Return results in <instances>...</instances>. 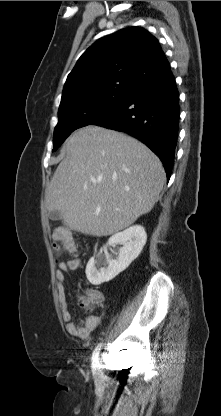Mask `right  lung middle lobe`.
Here are the masks:
<instances>
[{
  "instance_id": "obj_1",
  "label": "right lung middle lobe",
  "mask_w": 221,
  "mask_h": 416,
  "mask_svg": "<svg viewBox=\"0 0 221 416\" xmlns=\"http://www.w3.org/2000/svg\"><path fill=\"white\" fill-rule=\"evenodd\" d=\"M131 91L125 88H108L60 104L58 124L54 131L53 151L74 130L92 125L109 116Z\"/></svg>"
}]
</instances>
